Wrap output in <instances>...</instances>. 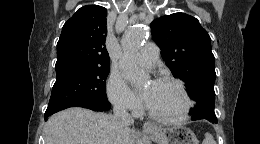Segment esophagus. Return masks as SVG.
Listing matches in <instances>:
<instances>
[{"label":"esophagus","instance_id":"34e87169","mask_svg":"<svg viewBox=\"0 0 260 144\" xmlns=\"http://www.w3.org/2000/svg\"><path fill=\"white\" fill-rule=\"evenodd\" d=\"M143 130L146 131V132L152 131V130H154V126L150 123H145L144 126H143Z\"/></svg>","mask_w":260,"mask_h":144}]
</instances>
